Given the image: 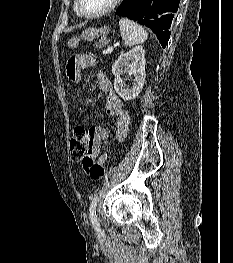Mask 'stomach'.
Masks as SVG:
<instances>
[{
    "instance_id": "obj_1",
    "label": "stomach",
    "mask_w": 233,
    "mask_h": 263,
    "mask_svg": "<svg viewBox=\"0 0 233 263\" xmlns=\"http://www.w3.org/2000/svg\"><path fill=\"white\" fill-rule=\"evenodd\" d=\"M110 30L109 27L103 26L99 29L90 27L82 32V34L79 37H73L67 42V45L71 48L77 47L80 40L85 41H93L98 37H101V39H105L106 36L109 34Z\"/></svg>"
}]
</instances>
